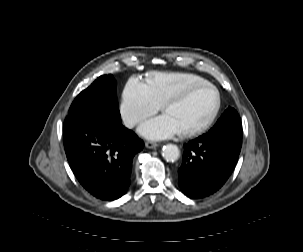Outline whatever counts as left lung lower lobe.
Returning <instances> with one entry per match:
<instances>
[{"label":"left lung lower lobe","instance_id":"1","mask_svg":"<svg viewBox=\"0 0 303 252\" xmlns=\"http://www.w3.org/2000/svg\"><path fill=\"white\" fill-rule=\"evenodd\" d=\"M242 138H210L202 135L184 144L178 170L181 190L193 199L216 192L228 179L237 162Z\"/></svg>","mask_w":303,"mask_h":252}]
</instances>
